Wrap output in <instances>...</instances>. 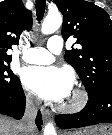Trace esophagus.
Returning <instances> with one entry per match:
<instances>
[{"label":"esophagus","mask_w":112,"mask_h":135,"mask_svg":"<svg viewBox=\"0 0 112 135\" xmlns=\"http://www.w3.org/2000/svg\"><path fill=\"white\" fill-rule=\"evenodd\" d=\"M41 113L44 118H48L50 116V113L48 110H45L44 107H41Z\"/></svg>","instance_id":"esophagus-1"}]
</instances>
